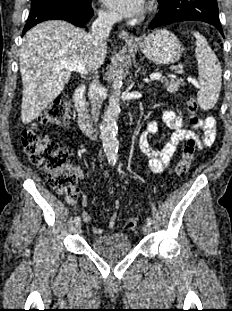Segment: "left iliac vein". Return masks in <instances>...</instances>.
<instances>
[{
  "mask_svg": "<svg viewBox=\"0 0 232 311\" xmlns=\"http://www.w3.org/2000/svg\"><path fill=\"white\" fill-rule=\"evenodd\" d=\"M143 232H144L145 234L150 233V232H151V225L148 224V223L145 224L144 227H143Z\"/></svg>",
  "mask_w": 232,
  "mask_h": 311,
  "instance_id": "1",
  "label": "left iliac vein"
}]
</instances>
